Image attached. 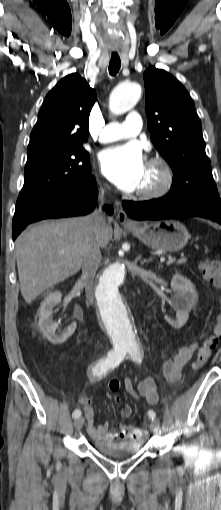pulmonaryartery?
Returning a JSON list of instances; mask_svg holds the SVG:
<instances>
[{"instance_id": "1", "label": "pulmonary artery", "mask_w": 221, "mask_h": 510, "mask_svg": "<svg viewBox=\"0 0 221 510\" xmlns=\"http://www.w3.org/2000/svg\"><path fill=\"white\" fill-rule=\"evenodd\" d=\"M141 117L137 112H131L123 123L112 122L106 125L100 135L103 143H111L122 139L135 137L141 130Z\"/></svg>"}]
</instances>
